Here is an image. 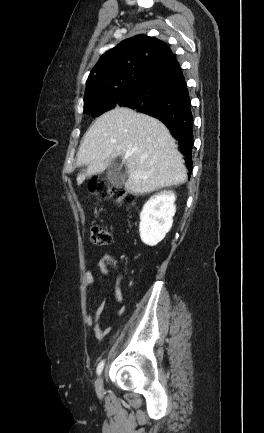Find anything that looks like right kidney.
Returning a JSON list of instances; mask_svg holds the SVG:
<instances>
[{
  "instance_id": "right-kidney-1",
  "label": "right kidney",
  "mask_w": 264,
  "mask_h": 433,
  "mask_svg": "<svg viewBox=\"0 0 264 433\" xmlns=\"http://www.w3.org/2000/svg\"><path fill=\"white\" fill-rule=\"evenodd\" d=\"M173 191H163L152 196L140 213L139 232L143 243L155 246L162 241L173 224L176 212Z\"/></svg>"
}]
</instances>
